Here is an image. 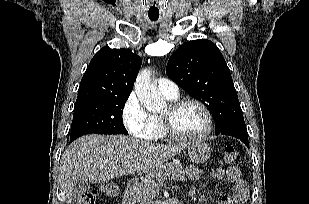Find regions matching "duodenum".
<instances>
[{"mask_svg":"<svg viewBox=\"0 0 309 204\" xmlns=\"http://www.w3.org/2000/svg\"><path fill=\"white\" fill-rule=\"evenodd\" d=\"M137 184L138 182L136 179H130L127 182L125 190H124L122 204H132L134 200V195H135Z\"/></svg>","mask_w":309,"mask_h":204,"instance_id":"1","label":"duodenum"}]
</instances>
